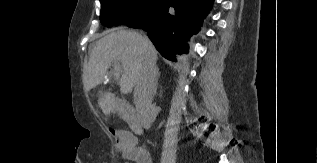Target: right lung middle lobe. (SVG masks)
I'll use <instances>...</instances> for the list:
<instances>
[{
    "instance_id": "dd1d6c3e",
    "label": "right lung middle lobe",
    "mask_w": 317,
    "mask_h": 163,
    "mask_svg": "<svg viewBox=\"0 0 317 163\" xmlns=\"http://www.w3.org/2000/svg\"><path fill=\"white\" fill-rule=\"evenodd\" d=\"M162 0H100V21L106 27L129 24L149 15Z\"/></svg>"
}]
</instances>
